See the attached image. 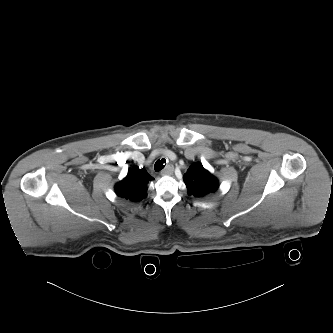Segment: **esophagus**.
Here are the masks:
<instances>
[{
  "mask_svg": "<svg viewBox=\"0 0 333 333\" xmlns=\"http://www.w3.org/2000/svg\"><path fill=\"white\" fill-rule=\"evenodd\" d=\"M173 172L174 166L172 164H169L160 172V175H172Z\"/></svg>",
  "mask_w": 333,
  "mask_h": 333,
  "instance_id": "1",
  "label": "esophagus"
}]
</instances>
